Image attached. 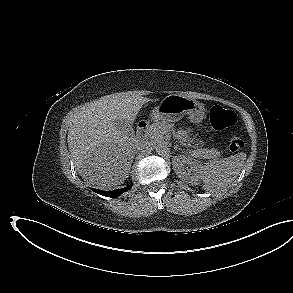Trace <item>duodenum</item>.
Returning <instances> with one entry per match:
<instances>
[{"label":"duodenum","instance_id":"duodenum-1","mask_svg":"<svg viewBox=\"0 0 293 293\" xmlns=\"http://www.w3.org/2000/svg\"><path fill=\"white\" fill-rule=\"evenodd\" d=\"M148 128V123L146 121H140L137 125L136 137L138 140L143 139L146 130Z\"/></svg>","mask_w":293,"mask_h":293}]
</instances>
